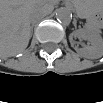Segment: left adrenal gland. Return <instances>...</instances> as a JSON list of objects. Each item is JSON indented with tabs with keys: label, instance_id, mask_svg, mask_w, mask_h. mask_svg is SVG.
<instances>
[{
	"label": "left adrenal gland",
	"instance_id": "1",
	"mask_svg": "<svg viewBox=\"0 0 103 103\" xmlns=\"http://www.w3.org/2000/svg\"><path fill=\"white\" fill-rule=\"evenodd\" d=\"M74 27H75V29H77V25H76V22H74Z\"/></svg>",
	"mask_w": 103,
	"mask_h": 103
}]
</instances>
